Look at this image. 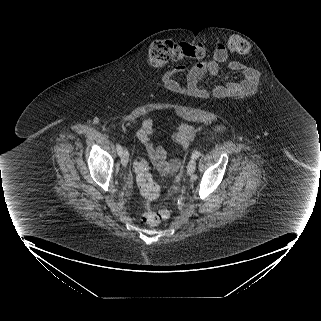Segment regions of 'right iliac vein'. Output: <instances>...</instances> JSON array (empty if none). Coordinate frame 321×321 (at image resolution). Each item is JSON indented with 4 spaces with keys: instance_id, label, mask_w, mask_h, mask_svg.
<instances>
[{
    "instance_id": "obj_1",
    "label": "right iliac vein",
    "mask_w": 321,
    "mask_h": 321,
    "mask_svg": "<svg viewBox=\"0 0 321 321\" xmlns=\"http://www.w3.org/2000/svg\"><path fill=\"white\" fill-rule=\"evenodd\" d=\"M128 160H129V153L126 149H123L121 154V163L124 167L127 166Z\"/></svg>"
}]
</instances>
